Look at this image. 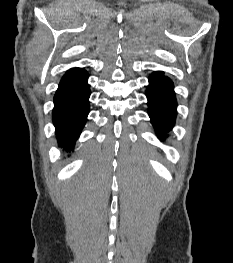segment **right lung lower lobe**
Here are the masks:
<instances>
[{
    "instance_id": "1",
    "label": "right lung lower lobe",
    "mask_w": 233,
    "mask_h": 263,
    "mask_svg": "<svg viewBox=\"0 0 233 263\" xmlns=\"http://www.w3.org/2000/svg\"><path fill=\"white\" fill-rule=\"evenodd\" d=\"M88 74L73 68L62 77L54 96L53 123L59 145L71 151L87 121L90 87Z\"/></svg>"
}]
</instances>
